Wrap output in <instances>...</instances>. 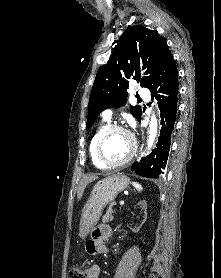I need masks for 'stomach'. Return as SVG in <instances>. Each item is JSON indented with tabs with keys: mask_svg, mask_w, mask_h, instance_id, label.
<instances>
[{
	"mask_svg": "<svg viewBox=\"0 0 221 278\" xmlns=\"http://www.w3.org/2000/svg\"><path fill=\"white\" fill-rule=\"evenodd\" d=\"M128 186L129 179L119 174L110 175L95 184L82 209L79 226L82 238H85L96 226L103 209Z\"/></svg>",
	"mask_w": 221,
	"mask_h": 278,
	"instance_id": "obj_1",
	"label": "stomach"
}]
</instances>
